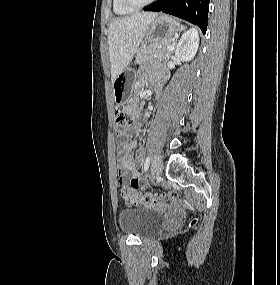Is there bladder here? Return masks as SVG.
<instances>
[{
	"instance_id": "bladder-1",
	"label": "bladder",
	"mask_w": 280,
	"mask_h": 285,
	"mask_svg": "<svg viewBox=\"0 0 280 285\" xmlns=\"http://www.w3.org/2000/svg\"><path fill=\"white\" fill-rule=\"evenodd\" d=\"M161 211L151 208L123 209L118 217L120 230L138 237L157 233L163 225Z\"/></svg>"
}]
</instances>
